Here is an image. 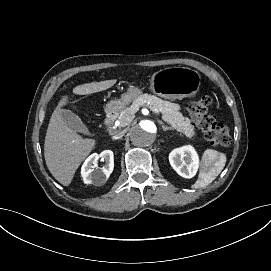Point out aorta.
Instances as JSON below:
<instances>
[{"instance_id": "aorta-1", "label": "aorta", "mask_w": 271, "mask_h": 271, "mask_svg": "<svg viewBox=\"0 0 271 271\" xmlns=\"http://www.w3.org/2000/svg\"><path fill=\"white\" fill-rule=\"evenodd\" d=\"M157 124L152 120H141L136 123L129 132L131 143L139 148H149L157 138Z\"/></svg>"}]
</instances>
